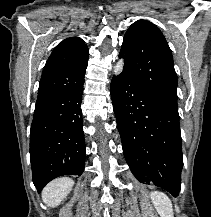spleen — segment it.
I'll return each mask as SVG.
<instances>
[{
  "label": "spleen",
  "instance_id": "1",
  "mask_svg": "<svg viewBox=\"0 0 211 217\" xmlns=\"http://www.w3.org/2000/svg\"><path fill=\"white\" fill-rule=\"evenodd\" d=\"M150 198L160 217H174L172 202L166 194L154 191Z\"/></svg>",
  "mask_w": 211,
  "mask_h": 217
}]
</instances>
